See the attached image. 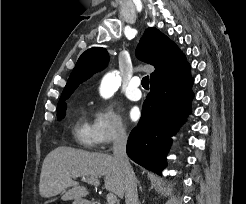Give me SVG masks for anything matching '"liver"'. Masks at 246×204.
I'll list each match as a JSON object with an SVG mask.
<instances>
[{"instance_id": "6515ba94", "label": "liver", "mask_w": 246, "mask_h": 204, "mask_svg": "<svg viewBox=\"0 0 246 204\" xmlns=\"http://www.w3.org/2000/svg\"><path fill=\"white\" fill-rule=\"evenodd\" d=\"M77 177L98 179L104 177L105 188L119 198L124 196V174L112 155L91 153L70 147H57L44 159L40 175L39 192L42 197H53L70 188L62 200H80L88 189L74 181Z\"/></svg>"}]
</instances>
